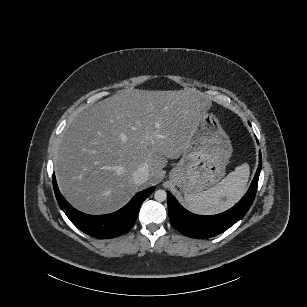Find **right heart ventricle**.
Here are the masks:
<instances>
[{"label": "right heart ventricle", "mask_w": 307, "mask_h": 307, "mask_svg": "<svg viewBox=\"0 0 307 307\" xmlns=\"http://www.w3.org/2000/svg\"><path fill=\"white\" fill-rule=\"evenodd\" d=\"M162 138L164 139V141H165L166 143H170V142H168V141L166 140V138L163 136V134H162Z\"/></svg>", "instance_id": "obj_1"}]
</instances>
